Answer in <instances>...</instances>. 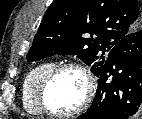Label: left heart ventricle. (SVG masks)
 <instances>
[{
    "instance_id": "b2bd125f",
    "label": "left heart ventricle",
    "mask_w": 142,
    "mask_h": 119,
    "mask_svg": "<svg viewBox=\"0 0 142 119\" xmlns=\"http://www.w3.org/2000/svg\"><path fill=\"white\" fill-rule=\"evenodd\" d=\"M84 90V79L77 70H63L56 75L47 90L48 106L57 112L75 109L82 101Z\"/></svg>"
}]
</instances>
